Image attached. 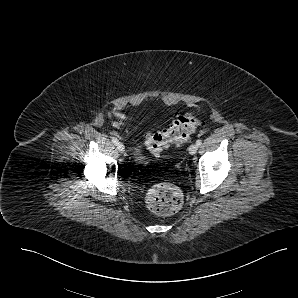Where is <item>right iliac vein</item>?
I'll return each mask as SVG.
<instances>
[{
	"instance_id": "63e3f726",
	"label": "right iliac vein",
	"mask_w": 298,
	"mask_h": 298,
	"mask_svg": "<svg viewBox=\"0 0 298 298\" xmlns=\"http://www.w3.org/2000/svg\"><path fill=\"white\" fill-rule=\"evenodd\" d=\"M117 149L120 153H123L125 151V146L122 143H117Z\"/></svg>"
}]
</instances>
